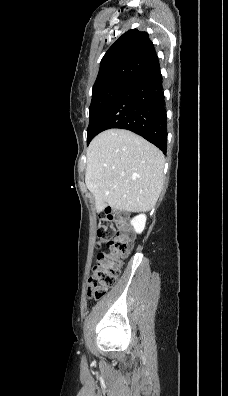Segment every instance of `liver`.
I'll list each match as a JSON object with an SVG mask.
<instances>
[{
    "label": "liver",
    "instance_id": "1",
    "mask_svg": "<svg viewBox=\"0 0 228 396\" xmlns=\"http://www.w3.org/2000/svg\"><path fill=\"white\" fill-rule=\"evenodd\" d=\"M164 155L131 131L110 129L87 149L85 183L97 212L106 206L127 212L150 211L163 187Z\"/></svg>",
    "mask_w": 228,
    "mask_h": 396
}]
</instances>
